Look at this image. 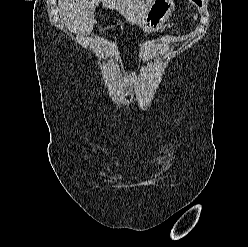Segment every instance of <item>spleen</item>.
I'll return each instance as SVG.
<instances>
[{
  "instance_id": "spleen-1",
  "label": "spleen",
  "mask_w": 248,
  "mask_h": 247,
  "mask_svg": "<svg viewBox=\"0 0 248 247\" xmlns=\"http://www.w3.org/2000/svg\"><path fill=\"white\" fill-rule=\"evenodd\" d=\"M194 19H195V20L197 19V15H194Z\"/></svg>"
}]
</instances>
